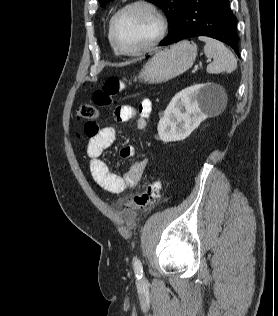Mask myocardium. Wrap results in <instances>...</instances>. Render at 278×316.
Here are the masks:
<instances>
[{"label": "myocardium", "mask_w": 278, "mask_h": 316, "mask_svg": "<svg viewBox=\"0 0 278 316\" xmlns=\"http://www.w3.org/2000/svg\"><path fill=\"white\" fill-rule=\"evenodd\" d=\"M137 7H141L148 10L154 16L157 22V31L155 36L147 44L135 50H126L122 48L117 42L115 34L116 22L123 13ZM167 27L168 25L165 16L153 2L149 0H134L126 3L114 13L109 23V35L114 49L119 54L126 56H137L154 48L164 38L167 31Z\"/></svg>", "instance_id": "myocardium-1"}]
</instances>
